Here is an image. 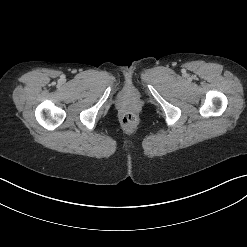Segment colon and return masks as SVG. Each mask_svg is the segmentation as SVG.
Segmentation results:
<instances>
[{
    "instance_id": "1",
    "label": "colon",
    "mask_w": 247,
    "mask_h": 247,
    "mask_svg": "<svg viewBox=\"0 0 247 247\" xmlns=\"http://www.w3.org/2000/svg\"><path fill=\"white\" fill-rule=\"evenodd\" d=\"M122 122L126 127H132L137 122V116L133 112H127L123 115Z\"/></svg>"
}]
</instances>
